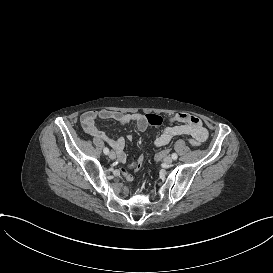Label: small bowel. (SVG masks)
Returning a JSON list of instances; mask_svg holds the SVG:
<instances>
[{"mask_svg": "<svg viewBox=\"0 0 273 273\" xmlns=\"http://www.w3.org/2000/svg\"><path fill=\"white\" fill-rule=\"evenodd\" d=\"M97 120L113 121L121 125H135L139 131H145L148 128V123L142 113H124L114 110L91 111L84 113L81 116V124L84 131L97 140L107 143L110 147L117 151V158L119 162L126 163L127 155L124 152L126 139L109 137L103 130H101L96 122ZM171 121L175 125L168 126L162 130L160 135L155 139V146L160 148L169 144L174 138L179 136H187L190 143L194 146H199L208 138V130L205 128L201 119L187 113H177ZM127 140L131 141L132 136H127ZM170 156L169 150H163L159 153L153 154L154 160L164 159ZM130 167L135 169V161L130 163ZM121 172L126 176L127 181L133 180V175L128 174L125 168Z\"/></svg>", "mask_w": 273, "mask_h": 273, "instance_id": "1", "label": "small bowel"}]
</instances>
